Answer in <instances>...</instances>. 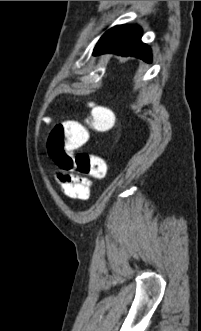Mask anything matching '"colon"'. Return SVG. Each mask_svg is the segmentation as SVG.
<instances>
[{"instance_id":"1","label":"colon","mask_w":201,"mask_h":331,"mask_svg":"<svg viewBox=\"0 0 201 331\" xmlns=\"http://www.w3.org/2000/svg\"><path fill=\"white\" fill-rule=\"evenodd\" d=\"M114 125V112L104 106L92 107L84 123L74 120L59 122L51 129L48 137L49 156L63 171L104 179L107 175V165L101 157L85 151L76 154L70 151L88 141V129L102 133L111 130Z\"/></svg>"}]
</instances>
